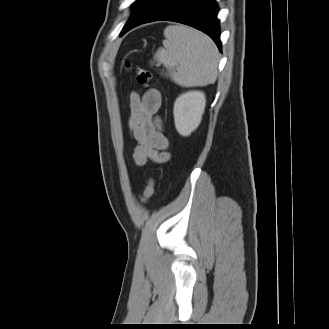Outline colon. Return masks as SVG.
Wrapping results in <instances>:
<instances>
[{
  "label": "colon",
  "instance_id": "5ec220e1",
  "mask_svg": "<svg viewBox=\"0 0 329 329\" xmlns=\"http://www.w3.org/2000/svg\"><path fill=\"white\" fill-rule=\"evenodd\" d=\"M133 73L135 75V78L137 82L141 85H148L151 79L150 72L141 67V66H135L132 68ZM156 187V181L153 177L149 178L146 187L144 188L143 192L140 194V199L143 203H147L150 198L153 196L155 192Z\"/></svg>",
  "mask_w": 329,
  "mask_h": 329
}]
</instances>
